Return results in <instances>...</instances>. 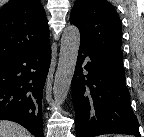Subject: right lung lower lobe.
Masks as SVG:
<instances>
[{
	"mask_svg": "<svg viewBox=\"0 0 144 137\" xmlns=\"http://www.w3.org/2000/svg\"><path fill=\"white\" fill-rule=\"evenodd\" d=\"M51 60L49 39L0 65V120L43 137L42 96Z\"/></svg>",
	"mask_w": 144,
	"mask_h": 137,
	"instance_id": "obj_1",
	"label": "right lung lower lobe"
}]
</instances>
